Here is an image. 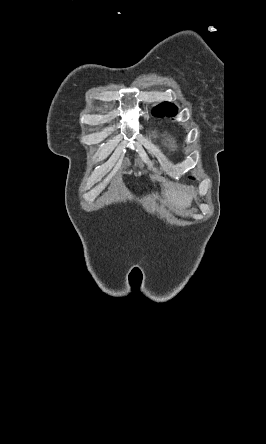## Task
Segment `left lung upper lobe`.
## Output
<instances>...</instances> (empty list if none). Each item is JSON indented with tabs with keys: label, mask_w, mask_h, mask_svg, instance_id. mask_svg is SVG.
<instances>
[{
	"label": "left lung upper lobe",
	"mask_w": 266,
	"mask_h": 444,
	"mask_svg": "<svg viewBox=\"0 0 266 444\" xmlns=\"http://www.w3.org/2000/svg\"><path fill=\"white\" fill-rule=\"evenodd\" d=\"M177 114V107L169 102L159 104L153 109V115L155 116H168L172 117Z\"/></svg>",
	"instance_id": "5c2ea615"
}]
</instances>
